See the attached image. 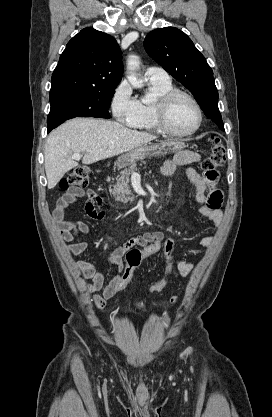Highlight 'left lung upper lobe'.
I'll return each mask as SVG.
<instances>
[{
    "mask_svg": "<svg viewBox=\"0 0 272 417\" xmlns=\"http://www.w3.org/2000/svg\"><path fill=\"white\" fill-rule=\"evenodd\" d=\"M148 55L194 95L205 115L224 131L213 71L191 39L174 27L159 28L144 40Z\"/></svg>",
    "mask_w": 272,
    "mask_h": 417,
    "instance_id": "left-lung-upper-lobe-1",
    "label": "left lung upper lobe"
}]
</instances>
